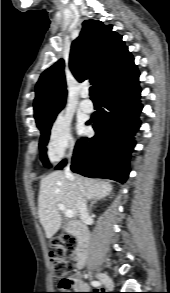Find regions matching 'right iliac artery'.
Here are the masks:
<instances>
[{
    "label": "right iliac artery",
    "instance_id": "right-iliac-artery-1",
    "mask_svg": "<svg viewBox=\"0 0 170 293\" xmlns=\"http://www.w3.org/2000/svg\"><path fill=\"white\" fill-rule=\"evenodd\" d=\"M91 285L94 287H99V286H101V283H100V281L94 280L91 282Z\"/></svg>",
    "mask_w": 170,
    "mask_h": 293
}]
</instances>
